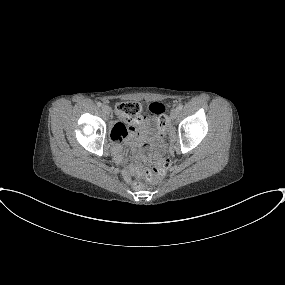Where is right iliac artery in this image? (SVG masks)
<instances>
[{
  "instance_id": "right-iliac-artery-1",
  "label": "right iliac artery",
  "mask_w": 285,
  "mask_h": 285,
  "mask_svg": "<svg viewBox=\"0 0 285 285\" xmlns=\"http://www.w3.org/2000/svg\"><path fill=\"white\" fill-rule=\"evenodd\" d=\"M97 106H98V107H101V106H102V103H101V102H98V103H97Z\"/></svg>"
}]
</instances>
